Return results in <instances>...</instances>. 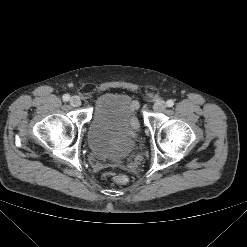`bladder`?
Wrapping results in <instances>:
<instances>
[{
	"instance_id": "31cf9c89",
	"label": "bladder",
	"mask_w": 247,
	"mask_h": 247,
	"mask_svg": "<svg viewBox=\"0 0 247 247\" xmlns=\"http://www.w3.org/2000/svg\"><path fill=\"white\" fill-rule=\"evenodd\" d=\"M136 114L135 102L131 96L116 92L101 95L88 131L90 150L109 160L121 162L127 159L132 154L140 133ZM108 134H118L124 142L110 139Z\"/></svg>"
}]
</instances>
